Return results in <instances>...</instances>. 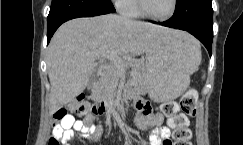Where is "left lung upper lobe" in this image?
<instances>
[{
  "label": "left lung upper lobe",
  "mask_w": 243,
  "mask_h": 145,
  "mask_svg": "<svg viewBox=\"0 0 243 145\" xmlns=\"http://www.w3.org/2000/svg\"><path fill=\"white\" fill-rule=\"evenodd\" d=\"M175 13L203 31H213L211 0H176Z\"/></svg>",
  "instance_id": "obj_1"
}]
</instances>
